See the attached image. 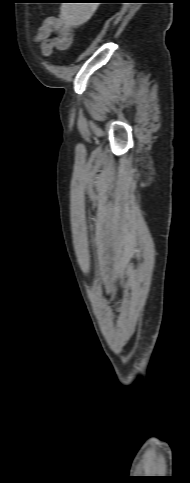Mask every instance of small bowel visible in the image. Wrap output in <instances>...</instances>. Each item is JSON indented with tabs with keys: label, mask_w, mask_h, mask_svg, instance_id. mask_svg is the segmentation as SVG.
<instances>
[{
	"label": "small bowel",
	"mask_w": 190,
	"mask_h": 483,
	"mask_svg": "<svg viewBox=\"0 0 190 483\" xmlns=\"http://www.w3.org/2000/svg\"><path fill=\"white\" fill-rule=\"evenodd\" d=\"M34 41L40 45L42 55L48 57L54 49H66L73 41V32L55 17H47L37 30Z\"/></svg>",
	"instance_id": "c3829d8e"
}]
</instances>
